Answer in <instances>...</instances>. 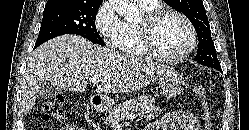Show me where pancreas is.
Masks as SVG:
<instances>
[{
	"label": "pancreas",
	"instance_id": "cf45deb5",
	"mask_svg": "<svg viewBox=\"0 0 249 130\" xmlns=\"http://www.w3.org/2000/svg\"><path fill=\"white\" fill-rule=\"evenodd\" d=\"M161 111L162 110L155 105L154 98L151 96H140L114 107L109 112L104 123L112 128H117L121 121L127 119L128 115L137 113L141 118L154 119Z\"/></svg>",
	"mask_w": 249,
	"mask_h": 130
}]
</instances>
